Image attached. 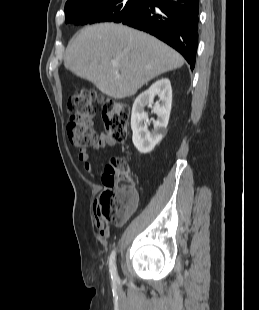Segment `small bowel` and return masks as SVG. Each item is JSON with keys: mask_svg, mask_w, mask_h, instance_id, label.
Masks as SVG:
<instances>
[{"mask_svg": "<svg viewBox=\"0 0 259 310\" xmlns=\"http://www.w3.org/2000/svg\"><path fill=\"white\" fill-rule=\"evenodd\" d=\"M116 145V140L112 139L106 134L100 135L99 143L95 146V149H101L105 147H112ZM78 159L83 163L85 171L92 177H95L93 166L90 162V155L86 149H82L78 152ZM96 228L103 237H106L110 233V227L102 223L101 221H96Z\"/></svg>", "mask_w": 259, "mask_h": 310, "instance_id": "obj_1", "label": "small bowel"}]
</instances>
